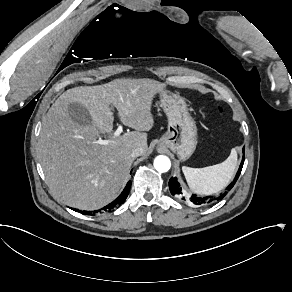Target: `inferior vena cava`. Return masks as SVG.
Segmentation results:
<instances>
[{"label": "inferior vena cava", "mask_w": 292, "mask_h": 292, "mask_svg": "<svg viewBox=\"0 0 292 292\" xmlns=\"http://www.w3.org/2000/svg\"><path fill=\"white\" fill-rule=\"evenodd\" d=\"M143 153V149L140 147H137L135 149H133L132 153H131V157H138L140 155H142Z\"/></svg>", "instance_id": "inferior-vena-cava-1"}]
</instances>
